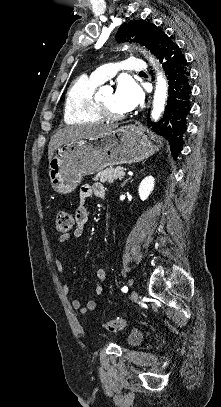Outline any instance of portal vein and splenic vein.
I'll return each mask as SVG.
<instances>
[{
  "label": "portal vein and splenic vein",
  "mask_w": 221,
  "mask_h": 407,
  "mask_svg": "<svg viewBox=\"0 0 221 407\" xmlns=\"http://www.w3.org/2000/svg\"><path fill=\"white\" fill-rule=\"evenodd\" d=\"M120 174L124 176L126 173L124 171H121Z\"/></svg>",
  "instance_id": "obj_1"
}]
</instances>
